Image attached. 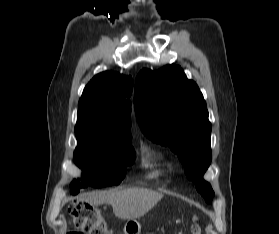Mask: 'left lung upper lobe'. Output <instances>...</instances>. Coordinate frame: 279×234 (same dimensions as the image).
Masks as SVG:
<instances>
[{
    "label": "left lung upper lobe",
    "instance_id": "obj_1",
    "mask_svg": "<svg viewBox=\"0 0 279 234\" xmlns=\"http://www.w3.org/2000/svg\"><path fill=\"white\" fill-rule=\"evenodd\" d=\"M134 106L143 133L178 155L186 176L210 203L214 192L203 175L212 158L211 123L197 84L179 66L143 69L136 78Z\"/></svg>",
    "mask_w": 279,
    "mask_h": 234
}]
</instances>
